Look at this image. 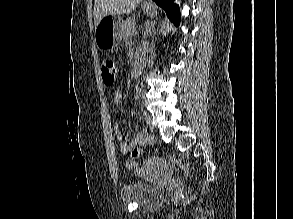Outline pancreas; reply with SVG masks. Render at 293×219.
Returning <instances> with one entry per match:
<instances>
[{"label":"pancreas","instance_id":"cf45deb5","mask_svg":"<svg viewBox=\"0 0 293 219\" xmlns=\"http://www.w3.org/2000/svg\"><path fill=\"white\" fill-rule=\"evenodd\" d=\"M135 31H136V19L134 16H132L126 19L122 25L123 37L125 38L130 37L134 35Z\"/></svg>","mask_w":293,"mask_h":219}]
</instances>
